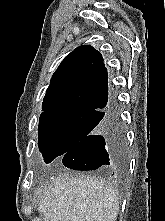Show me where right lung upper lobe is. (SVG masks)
Masks as SVG:
<instances>
[{
	"label": "right lung upper lobe",
	"mask_w": 165,
	"mask_h": 221,
	"mask_svg": "<svg viewBox=\"0 0 165 221\" xmlns=\"http://www.w3.org/2000/svg\"><path fill=\"white\" fill-rule=\"evenodd\" d=\"M109 103L108 74L102 55L92 46L83 45L67 55L55 71L42 110L92 112Z\"/></svg>",
	"instance_id": "1"
}]
</instances>
